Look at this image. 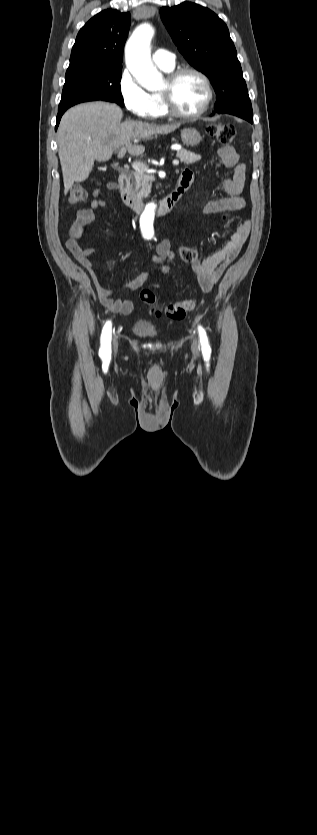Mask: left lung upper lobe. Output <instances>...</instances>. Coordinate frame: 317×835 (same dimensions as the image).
I'll list each match as a JSON object with an SVG mask.
<instances>
[{
    "label": "left lung upper lobe",
    "mask_w": 317,
    "mask_h": 835,
    "mask_svg": "<svg viewBox=\"0 0 317 835\" xmlns=\"http://www.w3.org/2000/svg\"><path fill=\"white\" fill-rule=\"evenodd\" d=\"M160 14L181 54L211 80L217 95L216 111L253 115L226 24L208 8L191 2L162 7Z\"/></svg>",
    "instance_id": "5c2ea615"
}]
</instances>
